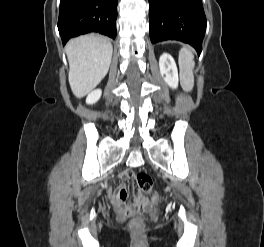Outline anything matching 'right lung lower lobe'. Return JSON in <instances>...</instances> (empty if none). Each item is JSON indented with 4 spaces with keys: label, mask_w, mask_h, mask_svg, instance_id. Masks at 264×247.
I'll use <instances>...</instances> for the list:
<instances>
[{
    "label": "right lung lower lobe",
    "mask_w": 264,
    "mask_h": 247,
    "mask_svg": "<svg viewBox=\"0 0 264 247\" xmlns=\"http://www.w3.org/2000/svg\"><path fill=\"white\" fill-rule=\"evenodd\" d=\"M117 3L118 0H60L58 29L63 44L90 32L115 39Z\"/></svg>",
    "instance_id": "right-lung-lower-lobe-1"
}]
</instances>
